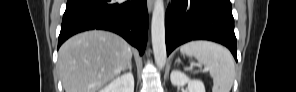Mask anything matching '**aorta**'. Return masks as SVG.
I'll use <instances>...</instances> for the list:
<instances>
[{
	"instance_id": "obj_1",
	"label": "aorta",
	"mask_w": 296,
	"mask_h": 92,
	"mask_svg": "<svg viewBox=\"0 0 296 92\" xmlns=\"http://www.w3.org/2000/svg\"><path fill=\"white\" fill-rule=\"evenodd\" d=\"M151 36L154 58L159 69L166 63L165 9L163 0H155L151 23Z\"/></svg>"
}]
</instances>
